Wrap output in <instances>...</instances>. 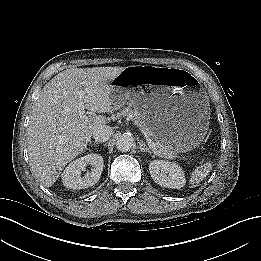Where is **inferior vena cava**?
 I'll use <instances>...</instances> for the list:
<instances>
[{
    "mask_svg": "<svg viewBox=\"0 0 261 261\" xmlns=\"http://www.w3.org/2000/svg\"><path fill=\"white\" fill-rule=\"evenodd\" d=\"M112 134V128L110 126L102 125L96 128L93 132V138L95 142H105L109 140Z\"/></svg>",
    "mask_w": 261,
    "mask_h": 261,
    "instance_id": "602c4592",
    "label": "inferior vena cava"
}]
</instances>
